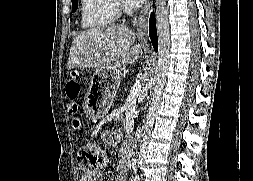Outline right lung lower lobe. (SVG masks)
<instances>
[{"mask_svg": "<svg viewBox=\"0 0 253 181\" xmlns=\"http://www.w3.org/2000/svg\"><path fill=\"white\" fill-rule=\"evenodd\" d=\"M149 36H150V39H151V42H152V45H153L154 49L157 51L158 41H157L154 14H151L150 21H149Z\"/></svg>", "mask_w": 253, "mask_h": 181, "instance_id": "right-lung-lower-lobe-1", "label": "right lung lower lobe"}]
</instances>
